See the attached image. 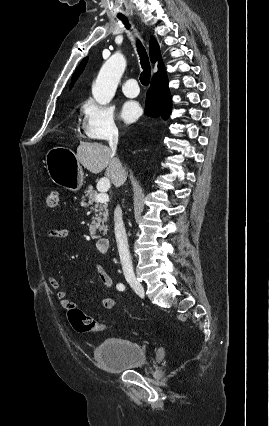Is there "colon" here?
<instances>
[{
  "mask_svg": "<svg viewBox=\"0 0 269 426\" xmlns=\"http://www.w3.org/2000/svg\"><path fill=\"white\" fill-rule=\"evenodd\" d=\"M44 203L49 208H57L59 205V193L51 189L44 195ZM68 318L77 332H94L110 329L111 326L87 316L81 309L73 306L69 309Z\"/></svg>",
  "mask_w": 269,
  "mask_h": 426,
  "instance_id": "colon-1",
  "label": "colon"
}]
</instances>
